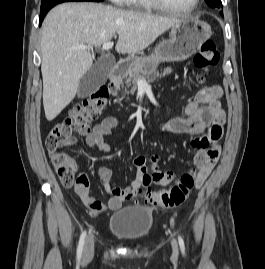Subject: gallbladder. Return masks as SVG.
<instances>
[{
    "label": "gallbladder",
    "mask_w": 265,
    "mask_h": 269,
    "mask_svg": "<svg viewBox=\"0 0 265 269\" xmlns=\"http://www.w3.org/2000/svg\"><path fill=\"white\" fill-rule=\"evenodd\" d=\"M113 64H107L104 59L97 61L87 73H85L78 86L77 96L85 98L95 93L107 80Z\"/></svg>",
    "instance_id": "bac80fb5"
}]
</instances>
